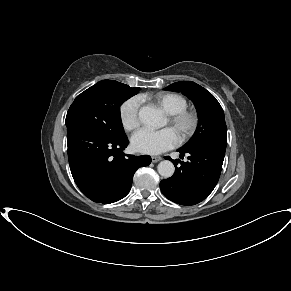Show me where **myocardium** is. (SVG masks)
Returning a JSON list of instances; mask_svg holds the SVG:
<instances>
[{"label": "myocardium", "mask_w": 291, "mask_h": 291, "mask_svg": "<svg viewBox=\"0 0 291 291\" xmlns=\"http://www.w3.org/2000/svg\"><path fill=\"white\" fill-rule=\"evenodd\" d=\"M199 114L196 110L185 108L173 114H168V123L173 129L181 128L184 124L186 127L179 135V141L184 143L190 140L198 130Z\"/></svg>", "instance_id": "obj_1"}]
</instances>
